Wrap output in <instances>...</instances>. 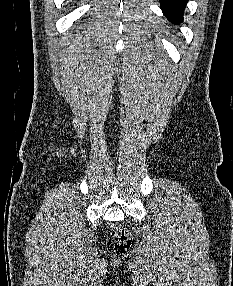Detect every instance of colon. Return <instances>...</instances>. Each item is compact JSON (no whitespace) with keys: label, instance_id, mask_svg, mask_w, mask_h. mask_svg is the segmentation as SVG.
<instances>
[{"label":"colon","instance_id":"obj_1","mask_svg":"<svg viewBox=\"0 0 233 286\" xmlns=\"http://www.w3.org/2000/svg\"><path fill=\"white\" fill-rule=\"evenodd\" d=\"M131 243L130 234L121 227H114L109 238L108 248L113 252H122L126 250Z\"/></svg>","mask_w":233,"mask_h":286}]
</instances>
